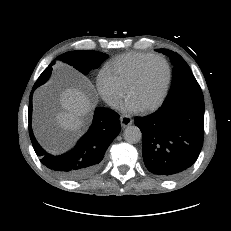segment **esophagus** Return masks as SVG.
<instances>
[{
  "instance_id": "34e87169",
  "label": "esophagus",
  "mask_w": 231,
  "mask_h": 231,
  "mask_svg": "<svg viewBox=\"0 0 231 231\" xmlns=\"http://www.w3.org/2000/svg\"><path fill=\"white\" fill-rule=\"evenodd\" d=\"M120 122H121L122 128H126L127 126L133 123V120L130 116L125 115L120 118Z\"/></svg>"
}]
</instances>
